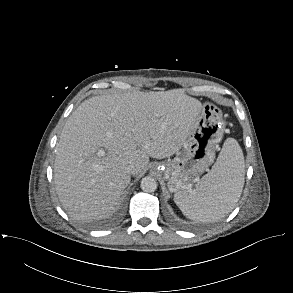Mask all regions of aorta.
<instances>
[{
    "mask_svg": "<svg viewBox=\"0 0 293 293\" xmlns=\"http://www.w3.org/2000/svg\"><path fill=\"white\" fill-rule=\"evenodd\" d=\"M140 187L144 192L152 193L157 189V182L153 177L146 176L142 178Z\"/></svg>",
    "mask_w": 293,
    "mask_h": 293,
    "instance_id": "762f6f07",
    "label": "aorta"
}]
</instances>
